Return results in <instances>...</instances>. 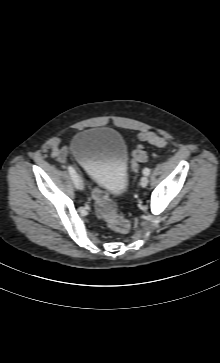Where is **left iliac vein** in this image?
<instances>
[{
	"label": "left iliac vein",
	"mask_w": 220,
	"mask_h": 363,
	"mask_svg": "<svg viewBox=\"0 0 220 363\" xmlns=\"http://www.w3.org/2000/svg\"><path fill=\"white\" fill-rule=\"evenodd\" d=\"M149 179L147 176H143L140 180V184L142 187H146L148 185Z\"/></svg>",
	"instance_id": "4c4485c4"
}]
</instances>
